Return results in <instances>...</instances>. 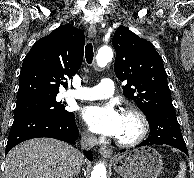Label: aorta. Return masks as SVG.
<instances>
[{"mask_svg": "<svg viewBox=\"0 0 194 178\" xmlns=\"http://www.w3.org/2000/svg\"><path fill=\"white\" fill-rule=\"evenodd\" d=\"M113 58V51L109 46H103L99 49L96 56V62L99 67H104ZM90 178H107V171L104 163H98L94 166Z\"/></svg>", "mask_w": 194, "mask_h": 178, "instance_id": "1", "label": "aorta"}]
</instances>
